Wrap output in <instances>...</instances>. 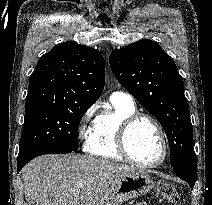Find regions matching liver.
I'll return each instance as SVG.
<instances>
[{
  "label": "liver",
  "mask_w": 212,
  "mask_h": 205,
  "mask_svg": "<svg viewBox=\"0 0 212 205\" xmlns=\"http://www.w3.org/2000/svg\"><path fill=\"white\" fill-rule=\"evenodd\" d=\"M133 170L87 155L41 156L22 170L26 205H96L114 181Z\"/></svg>",
  "instance_id": "liver-1"
}]
</instances>
